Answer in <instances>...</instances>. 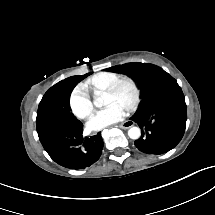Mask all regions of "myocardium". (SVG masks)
<instances>
[{
    "label": "myocardium",
    "instance_id": "obj_1",
    "mask_svg": "<svg viewBox=\"0 0 215 215\" xmlns=\"http://www.w3.org/2000/svg\"><path fill=\"white\" fill-rule=\"evenodd\" d=\"M124 91L126 93V98L120 101V104L127 108H132L137 101V88L135 84L129 79H118L114 86H110V94L119 93Z\"/></svg>",
    "mask_w": 215,
    "mask_h": 215
}]
</instances>
